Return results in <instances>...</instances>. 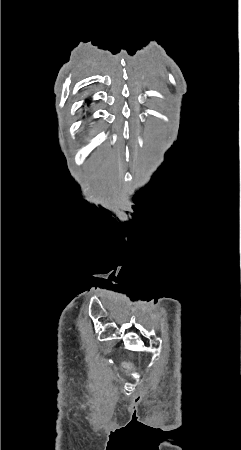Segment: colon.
<instances>
[{
    "mask_svg": "<svg viewBox=\"0 0 241 450\" xmlns=\"http://www.w3.org/2000/svg\"><path fill=\"white\" fill-rule=\"evenodd\" d=\"M144 354L147 356L149 353L146 351ZM144 362L147 364L149 361L146 359Z\"/></svg>",
    "mask_w": 241,
    "mask_h": 450,
    "instance_id": "colon-1",
    "label": "colon"
}]
</instances>
